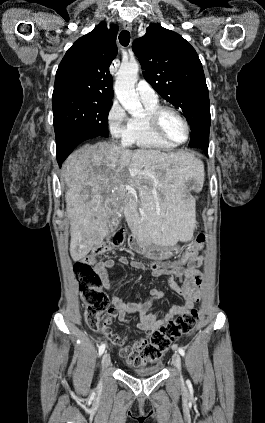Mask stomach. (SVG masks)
I'll list each match as a JSON object with an SVG mask.
<instances>
[{"label":"stomach","mask_w":265,"mask_h":423,"mask_svg":"<svg viewBox=\"0 0 265 423\" xmlns=\"http://www.w3.org/2000/svg\"><path fill=\"white\" fill-rule=\"evenodd\" d=\"M143 254L152 260H164L177 255L181 248L179 246H158L153 243L139 241Z\"/></svg>","instance_id":"0dacf381"}]
</instances>
